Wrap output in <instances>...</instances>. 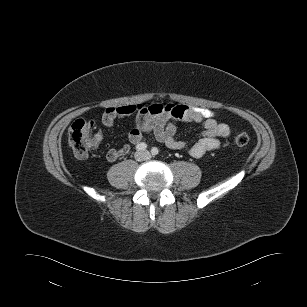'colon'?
I'll list each match as a JSON object with an SVG mask.
<instances>
[{"instance_id": "obj_1", "label": "colon", "mask_w": 307, "mask_h": 307, "mask_svg": "<svg viewBox=\"0 0 307 307\" xmlns=\"http://www.w3.org/2000/svg\"><path fill=\"white\" fill-rule=\"evenodd\" d=\"M94 122L86 120L75 121L68 133L69 144L78 158H86L92 148ZM249 143V135L245 132L235 134L233 144L237 147H244Z\"/></svg>"}]
</instances>
